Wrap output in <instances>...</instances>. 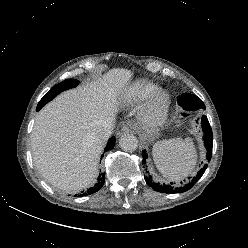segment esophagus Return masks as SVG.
<instances>
[{"mask_svg":"<svg viewBox=\"0 0 248 248\" xmlns=\"http://www.w3.org/2000/svg\"><path fill=\"white\" fill-rule=\"evenodd\" d=\"M133 131V126L130 123H125L122 125L121 130H120V134H128L131 133Z\"/></svg>","mask_w":248,"mask_h":248,"instance_id":"esophagus-1","label":"esophagus"}]
</instances>
